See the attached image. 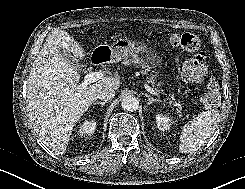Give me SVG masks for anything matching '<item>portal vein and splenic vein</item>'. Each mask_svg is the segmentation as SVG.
<instances>
[{
	"label": "portal vein and splenic vein",
	"instance_id": "obj_1",
	"mask_svg": "<svg viewBox=\"0 0 245 189\" xmlns=\"http://www.w3.org/2000/svg\"><path fill=\"white\" fill-rule=\"evenodd\" d=\"M104 77V72L102 71H96V72H90L84 76V81L81 85L78 86V90H82L85 86L94 83L101 78ZM145 89L150 92L152 95L160 96L159 93H157L153 88H151L149 85H145ZM175 106H179L178 103H173Z\"/></svg>",
	"mask_w": 245,
	"mask_h": 189
}]
</instances>
